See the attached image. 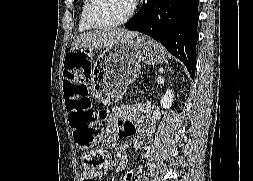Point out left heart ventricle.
Masks as SVG:
<instances>
[{"instance_id":"b2bd125f","label":"left heart ventricle","mask_w":253,"mask_h":181,"mask_svg":"<svg viewBox=\"0 0 253 181\" xmlns=\"http://www.w3.org/2000/svg\"><path fill=\"white\" fill-rule=\"evenodd\" d=\"M131 7V0H97L94 15L100 21L116 22L124 18Z\"/></svg>"}]
</instances>
